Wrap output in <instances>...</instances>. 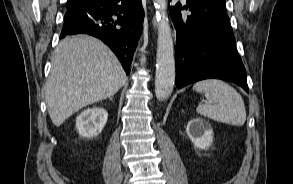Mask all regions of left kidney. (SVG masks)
Instances as JSON below:
<instances>
[{
  "label": "left kidney",
  "instance_id": "obj_1",
  "mask_svg": "<svg viewBox=\"0 0 293 184\" xmlns=\"http://www.w3.org/2000/svg\"><path fill=\"white\" fill-rule=\"evenodd\" d=\"M186 133L196 148L206 150L213 142V129L210 123L203 119H191L187 124Z\"/></svg>",
  "mask_w": 293,
  "mask_h": 184
}]
</instances>
